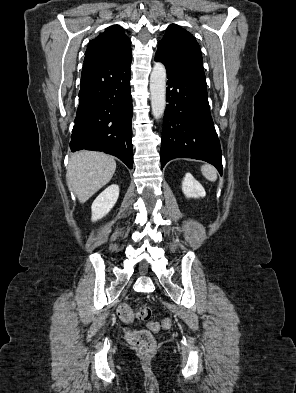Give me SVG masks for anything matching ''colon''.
Segmentation results:
<instances>
[{
	"instance_id": "obj_1",
	"label": "colon",
	"mask_w": 296,
	"mask_h": 393,
	"mask_svg": "<svg viewBox=\"0 0 296 393\" xmlns=\"http://www.w3.org/2000/svg\"><path fill=\"white\" fill-rule=\"evenodd\" d=\"M118 313L121 319L125 322H130L137 317L140 320H147L151 315V309L147 306L141 307L136 313L130 308L128 304H121L118 308ZM172 322L170 319H164L160 323L151 322L149 330L152 332L158 331L160 328H170ZM148 330H135L127 333V340L132 345L137 347L142 354L149 355L154 352L156 348L155 340Z\"/></svg>"
}]
</instances>
